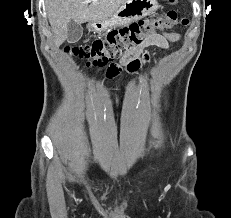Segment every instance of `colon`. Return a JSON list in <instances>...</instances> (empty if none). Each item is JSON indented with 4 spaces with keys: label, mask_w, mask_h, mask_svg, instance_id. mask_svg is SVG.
<instances>
[{
    "label": "colon",
    "mask_w": 231,
    "mask_h": 218,
    "mask_svg": "<svg viewBox=\"0 0 231 218\" xmlns=\"http://www.w3.org/2000/svg\"><path fill=\"white\" fill-rule=\"evenodd\" d=\"M187 23L188 20L180 17L177 11L169 10L158 18L134 22L111 32L105 39L96 40L89 45L68 48L67 51L84 60L87 66L103 68L115 59L143 46L147 39L156 35L159 30ZM138 58H148V54L142 53Z\"/></svg>",
    "instance_id": "5ec220e1"
}]
</instances>
